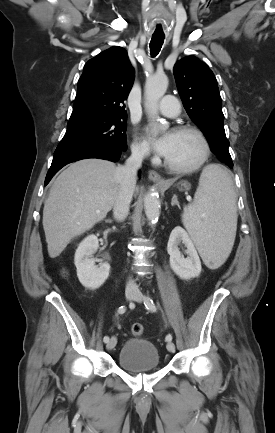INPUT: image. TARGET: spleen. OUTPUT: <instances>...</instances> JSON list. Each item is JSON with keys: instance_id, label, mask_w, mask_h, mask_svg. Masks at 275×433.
Masks as SVG:
<instances>
[{"instance_id": "3e777b00", "label": "spleen", "mask_w": 275, "mask_h": 433, "mask_svg": "<svg viewBox=\"0 0 275 433\" xmlns=\"http://www.w3.org/2000/svg\"><path fill=\"white\" fill-rule=\"evenodd\" d=\"M182 222L205 264L220 267L231 253L237 229L235 190L226 169L217 164L203 169Z\"/></svg>"}]
</instances>
